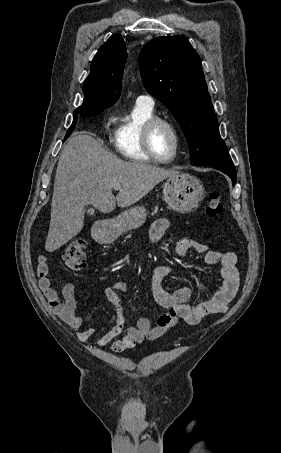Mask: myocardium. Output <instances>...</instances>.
I'll list each match as a JSON object with an SVG mask.
<instances>
[{"label":"myocardium","instance_id":"1","mask_svg":"<svg viewBox=\"0 0 281 453\" xmlns=\"http://www.w3.org/2000/svg\"><path fill=\"white\" fill-rule=\"evenodd\" d=\"M164 127L166 128L170 134L173 137V151L172 155L168 159H163L160 158L154 147V139L157 131L161 128ZM180 134L176 126L169 120L163 119V118H154L147 122L145 129H144V136H143V143H144V148L147 153V155L154 161L161 163V164H170L172 163L179 151V146H180Z\"/></svg>","mask_w":281,"mask_h":453}]
</instances>
